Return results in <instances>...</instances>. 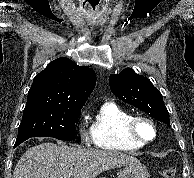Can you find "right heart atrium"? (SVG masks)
I'll use <instances>...</instances> for the list:
<instances>
[{
    "mask_svg": "<svg viewBox=\"0 0 194 178\" xmlns=\"http://www.w3.org/2000/svg\"><path fill=\"white\" fill-rule=\"evenodd\" d=\"M83 119H84V115L82 116V118L79 121L78 133H79L81 142L84 144H88L90 141V136L83 126Z\"/></svg>",
    "mask_w": 194,
    "mask_h": 178,
    "instance_id": "obj_1",
    "label": "right heart atrium"
}]
</instances>
